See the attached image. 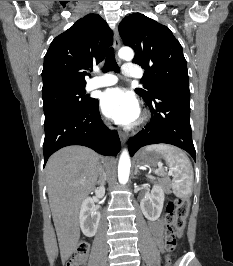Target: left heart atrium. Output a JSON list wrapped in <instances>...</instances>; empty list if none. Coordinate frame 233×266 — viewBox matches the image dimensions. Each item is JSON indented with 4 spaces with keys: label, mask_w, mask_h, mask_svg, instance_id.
I'll list each match as a JSON object with an SVG mask.
<instances>
[{
    "label": "left heart atrium",
    "mask_w": 233,
    "mask_h": 266,
    "mask_svg": "<svg viewBox=\"0 0 233 266\" xmlns=\"http://www.w3.org/2000/svg\"><path fill=\"white\" fill-rule=\"evenodd\" d=\"M101 109L107 117L121 125L135 123L140 115L138 100L123 88L106 90L101 97Z\"/></svg>",
    "instance_id": "39dd6f15"
}]
</instances>
